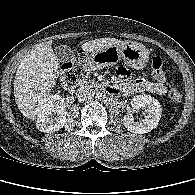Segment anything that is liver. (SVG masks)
<instances>
[{
    "label": "liver",
    "instance_id": "1",
    "mask_svg": "<svg viewBox=\"0 0 195 195\" xmlns=\"http://www.w3.org/2000/svg\"><path fill=\"white\" fill-rule=\"evenodd\" d=\"M115 38H100L82 44L86 53H95L123 43ZM52 41L37 44L21 61L14 80V97L18 109L26 118L38 117L39 108L50 96L60 74L59 60Z\"/></svg>",
    "mask_w": 195,
    "mask_h": 195
}]
</instances>
